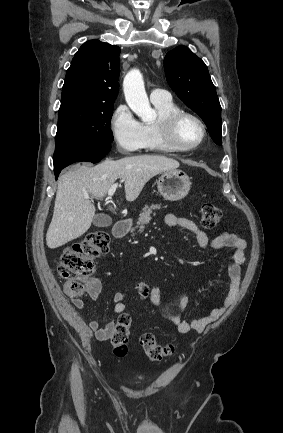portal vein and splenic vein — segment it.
Listing matches in <instances>:
<instances>
[{
    "label": "portal vein and splenic vein",
    "mask_w": 283,
    "mask_h": 433,
    "mask_svg": "<svg viewBox=\"0 0 283 433\" xmlns=\"http://www.w3.org/2000/svg\"><path fill=\"white\" fill-rule=\"evenodd\" d=\"M117 186H118V182H115V184H112V186H110V188L108 190L107 198H111V196H113ZM85 198H90V196H85Z\"/></svg>",
    "instance_id": "obj_1"
}]
</instances>
